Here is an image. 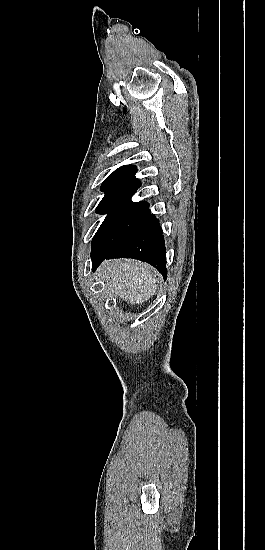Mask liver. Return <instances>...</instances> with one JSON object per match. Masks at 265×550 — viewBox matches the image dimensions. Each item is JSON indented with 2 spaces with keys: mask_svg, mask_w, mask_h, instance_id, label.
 I'll return each mask as SVG.
<instances>
[{
  "mask_svg": "<svg viewBox=\"0 0 265 550\" xmlns=\"http://www.w3.org/2000/svg\"><path fill=\"white\" fill-rule=\"evenodd\" d=\"M157 276L150 265L134 260L108 262L104 271L115 295L131 305L142 304L154 295Z\"/></svg>",
  "mask_w": 265,
  "mask_h": 550,
  "instance_id": "6515ba94",
  "label": "liver"
}]
</instances>
